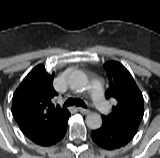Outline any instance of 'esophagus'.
I'll return each instance as SVG.
<instances>
[{"label": "esophagus", "mask_w": 160, "mask_h": 158, "mask_svg": "<svg viewBox=\"0 0 160 158\" xmlns=\"http://www.w3.org/2000/svg\"><path fill=\"white\" fill-rule=\"evenodd\" d=\"M78 110L84 114H86L88 112V109L83 108V107H79Z\"/></svg>", "instance_id": "esophagus-1"}]
</instances>
